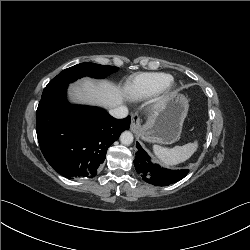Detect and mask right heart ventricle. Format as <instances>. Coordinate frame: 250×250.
Here are the masks:
<instances>
[{"label": "right heart ventricle", "instance_id": "1", "mask_svg": "<svg viewBox=\"0 0 250 250\" xmlns=\"http://www.w3.org/2000/svg\"><path fill=\"white\" fill-rule=\"evenodd\" d=\"M172 76L163 72H148L129 78L125 84V92L131 100H141L159 92Z\"/></svg>", "mask_w": 250, "mask_h": 250}]
</instances>
